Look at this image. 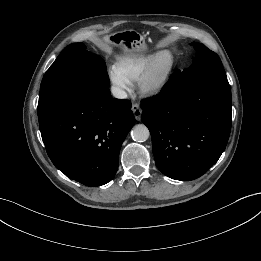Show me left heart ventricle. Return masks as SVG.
I'll return each mask as SVG.
<instances>
[{"label":"left heart ventricle","instance_id":"b2bd125f","mask_svg":"<svg viewBox=\"0 0 261 261\" xmlns=\"http://www.w3.org/2000/svg\"><path fill=\"white\" fill-rule=\"evenodd\" d=\"M167 64H168V57L164 56L159 60L157 69L162 70L167 66Z\"/></svg>","mask_w":261,"mask_h":261}]
</instances>
